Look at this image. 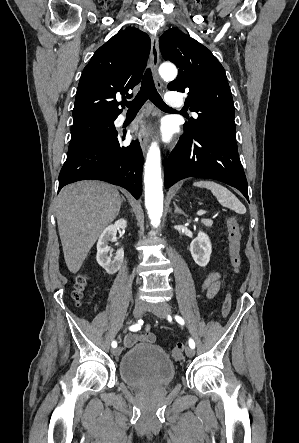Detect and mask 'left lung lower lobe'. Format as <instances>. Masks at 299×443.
<instances>
[{"label":"left lung lower lobe","mask_w":299,"mask_h":443,"mask_svg":"<svg viewBox=\"0 0 299 443\" xmlns=\"http://www.w3.org/2000/svg\"><path fill=\"white\" fill-rule=\"evenodd\" d=\"M187 177L222 181L237 188L248 199V185L236 140L218 133L183 134L166 159L164 185L170 187Z\"/></svg>","instance_id":"1"}]
</instances>
